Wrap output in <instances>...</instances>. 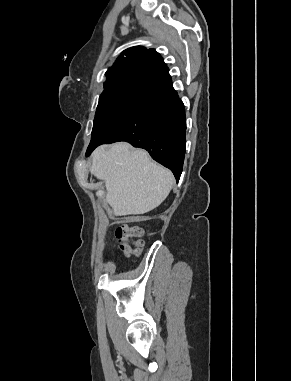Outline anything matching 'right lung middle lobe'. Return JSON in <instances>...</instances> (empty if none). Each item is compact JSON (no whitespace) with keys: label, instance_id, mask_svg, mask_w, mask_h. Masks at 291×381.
I'll list each match as a JSON object with an SVG mask.
<instances>
[{"label":"right lung middle lobe","instance_id":"dd1d6c3e","mask_svg":"<svg viewBox=\"0 0 291 381\" xmlns=\"http://www.w3.org/2000/svg\"><path fill=\"white\" fill-rule=\"evenodd\" d=\"M142 77L129 78L102 92L94 118L90 145L115 141L120 135V124L131 104Z\"/></svg>","mask_w":291,"mask_h":381}]
</instances>
